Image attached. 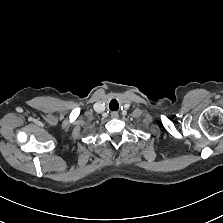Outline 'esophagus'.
<instances>
[{
  "mask_svg": "<svg viewBox=\"0 0 223 223\" xmlns=\"http://www.w3.org/2000/svg\"><path fill=\"white\" fill-rule=\"evenodd\" d=\"M118 113L116 112V111H113L112 113H111V118H113V119H115V118H118Z\"/></svg>",
  "mask_w": 223,
  "mask_h": 223,
  "instance_id": "esophagus-1",
  "label": "esophagus"
}]
</instances>
